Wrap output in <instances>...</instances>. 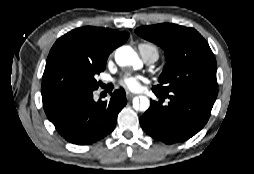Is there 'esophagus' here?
<instances>
[{
    "instance_id": "1",
    "label": "esophagus",
    "mask_w": 254,
    "mask_h": 174,
    "mask_svg": "<svg viewBox=\"0 0 254 174\" xmlns=\"http://www.w3.org/2000/svg\"><path fill=\"white\" fill-rule=\"evenodd\" d=\"M127 99L128 100H131L134 96H135V94H132V93H130V92H127Z\"/></svg>"
}]
</instances>
